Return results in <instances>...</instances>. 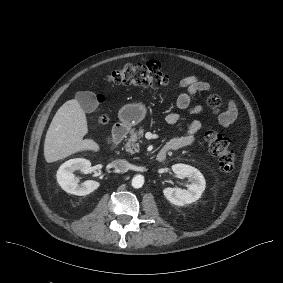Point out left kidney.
<instances>
[{
  "label": "left kidney",
  "mask_w": 283,
  "mask_h": 283,
  "mask_svg": "<svg viewBox=\"0 0 283 283\" xmlns=\"http://www.w3.org/2000/svg\"><path fill=\"white\" fill-rule=\"evenodd\" d=\"M172 170L177 177L181 179L187 178L190 183L186 185L187 189L165 188L163 194L166 199L177 206L197 201L206 187L202 173L190 165L181 163L173 165Z\"/></svg>",
  "instance_id": "1"
}]
</instances>
